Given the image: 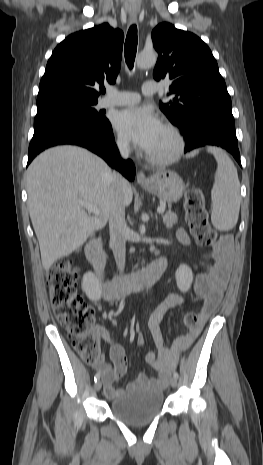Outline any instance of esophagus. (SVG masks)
Here are the masks:
<instances>
[{
	"label": "esophagus",
	"instance_id": "esophagus-1",
	"mask_svg": "<svg viewBox=\"0 0 263 465\" xmlns=\"http://www.w3.org/2000/svg\"><path fill=\"white\" fill-rule=\"evenodd\" d=\"M130 20L132 22H135L137 20V16L136 15H131ZM137 183L141 184V185L149 183V180H148V178L146 177V175L144 174L143 171H139L137 173Z\"/></svg>",
	"mask_w": 263,
	"mask_h": 465
}]
</instances>
